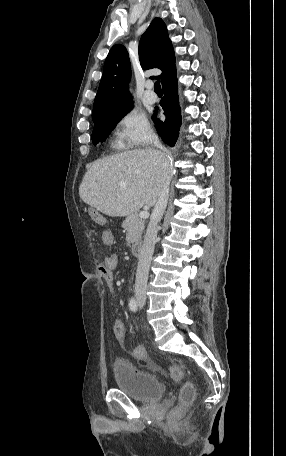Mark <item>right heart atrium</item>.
I'll list each match as a JSON object with an SVG mask.
<instances>
[{
  "label": "right heart atrium",
  "instance_id": "right-heart-atrium-1",
  "mask_svg": "<svg viewBox=\"0 0 286 456\" xmlns=\"http://www.w3.org/2000/svg\"><path fill=\"white\" fill-rule=\"evenodd\" d=\"M115 140L121 148L143 146L153 140V130L143 113L128 109L116 121Z\"/></svg>",
  "mask_w": 286,
  "mask_h": 456
}]
</instances>
